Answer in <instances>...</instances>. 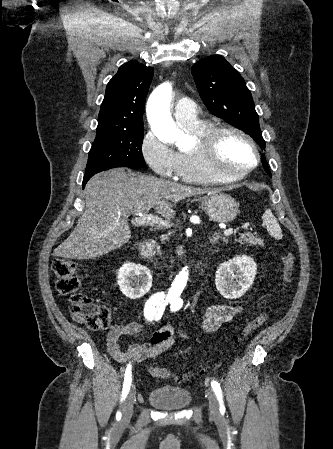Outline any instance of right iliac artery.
I'll return each instance as SVG.
<instances>
[{
    "mask_svg": "<svg viewBox=\"0 0 333 449\" xmlns=\"http://www.w3.org/2000/svg\"><path fill=\"white\" fill-rule=\"evenodd\" d=\"M171 300L169 296L165 297L163 293H156L153 296H151L144 307V315L147 320L152 321L154 319L159 320L161 319L163 312L165 310L166 305H168V302ZM132 382V372H131V365L128 364L126 371H125V378L123 383V390L121 395V401L125 399L127 396L130 386ZM117 415H120V412L117 413Z\"/></svg>",
    "mask_w": 333,
    "mask_h": 449,
    "instance_id": "right-iliac-artery-1",
    "label": "right iliac artery"
}]
</instances>
